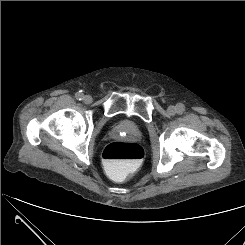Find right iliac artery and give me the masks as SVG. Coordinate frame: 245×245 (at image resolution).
<instances>
[{
    "label": "right iliac artery",
    "mask_w": 245,
    "mask_h": 245,
    "mask_svg": "<svg viewBox=\"0 0 245 245\" xmlns=\"http://www.w3.org/2000/svg\"><path fill=\"white\" fill-rule=\"evenodd\" d=\"M75 97H76L77 100H82L83 99V94L79 92V93L76 94Z\"/></svg>",
    "instance_id": "right-iliac-artery-1"
}]
</instances>
